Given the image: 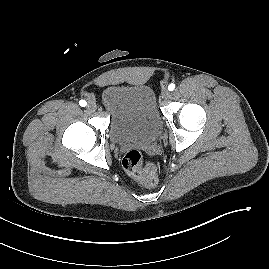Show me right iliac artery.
I'll return each instance as SVG.
<instances>
[{
  "instance_id": "82829eb1",
  "label": "right iliac artery",
  "mask_w": 269,
  "mask_h": 269,
  "mask_svg": "<svg viewBox=\"0 0 269 269\" xmlns=\"http://www.w3.org/2000/svg\"><path fill=\"white\" fill-rule=\"evenodd\" d=\"M79 105L85 107L87 105V102L85 100H80Z\"/></svg>"
}]
</instances>
